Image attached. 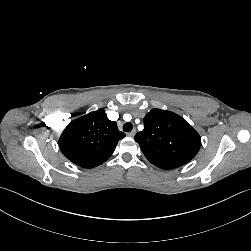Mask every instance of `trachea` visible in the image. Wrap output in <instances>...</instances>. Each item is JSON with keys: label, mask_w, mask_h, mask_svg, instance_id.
I'll return each mask as SVG.
<instances>
[{"label": "trachea", "mask_w": 251, "mask_h": 251, "mask_svg": "<svg viewBox=\"0 0 251 251\" xmlns=\"http://www.w3.org/2000/svg\"><path fill=\"white\" fill-rule=\"evenodd\" d=\"M133 129V125L130 122H127L123 125V130L125 132H130Z\"/></svg>", "instance_id": "obj_1"}]
</instances>
